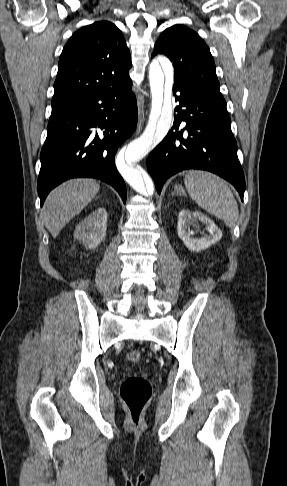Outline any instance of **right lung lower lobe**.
<instances>
[{
    "mask_svg": "<svg viewBox=\"0 0 287 486\" xmlns=\"http://www.w3.org/2000/svg\"><path fill=\"white\" fill-rule=\"evenodd\" d=\"M127 84L104 90L60 111L52 112L41 150L38 195L74 177L100 179L126 202V186L114 158L137 124L135 95Z\"/></svg>",
    "mask_w": 287,
    "mask_h": 486,
    "instance_id": "obj_1",
    "label": "right lung lower lobe"
}]
</instances>
